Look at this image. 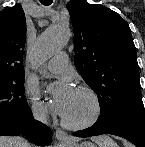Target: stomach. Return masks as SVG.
Wrapping results in <instances>:
<instances>
[{
  "instance_id": "stomach-1",
  "label": "stomach",
  "mask_w": 145,
  "mask_h": 147,
  "mask_svg": "<svg viewBox=\"0 0 145 147\" xmlns=\"http://www.w3.org/2000/svg\"><path fill=\"white\" fill-rule=\"evenodd\" d=\"M64 147H95V145L91 142H82L81 144H79L74 141L68 144H64Z\"/></svg>"
}]
</instances>
